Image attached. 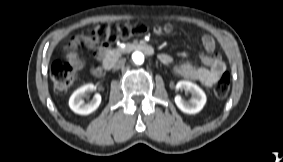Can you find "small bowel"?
I'll return each mask as SVG.
<instances>
[{
  "label": "small bowel",
  "instance_id": "c3829d8e",
  "mask_svg": "<svg viewBox=\"0 0 283 162\" xmlns=\"http://www.w3.org/2000/svg\"><path fill=\"white\" fill-rule=\"evenodd\" d=\"M173 26L166 24L164 26H156L154 33L158 36L165 33H171ZM202 44L206 51L205 54L200 55V60L204 64L202 67H197L191 63H182L175 68V72L187 79L199 81L203 85L210 87L214 85L225 73V64L221 58L214 54L216 44L215 40L210 35H203ZM80 46H85L89 49H96V57L100 62H105L109 56V50L106 49L107 45L98 46V40L91 36L79 34L74 36L67 45V61L74 66L77 70L84 66L83 60L80 58L77 49ZM159 59L164 64H171L172 57L168 54H160ZM92 75L97 78H103L108 75V70L104 65H97L92 68Z\"/></svg>",
  "mask_w": 283,
  "mask_h": 162
}]
</instances>
